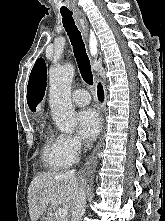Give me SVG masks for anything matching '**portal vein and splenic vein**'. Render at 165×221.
<instances>
[{
	"instance_id": "18ae733b",
	"label": "portal vein and splenic vein",
	"mask_w": 165,
	"mask_h": 221,
	"mask_svg": "<svg viewBox=\"0 0 165 221\" xmlns=\"http://www.w3.org/2000/svg\"><path fill=\"white\" fill-rule=\"evenodd\" d=\"M57 215L60 217V218H66L67 215H68V211L66 209V207H60L57 209Z\"/></svg>"
}]
</instances>
